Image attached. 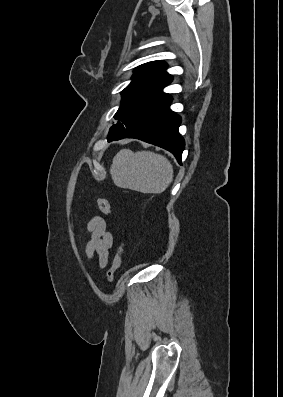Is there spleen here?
Instances as JSON below:
<instances>
[{
  "label": "spleen",
  "mask_w": 283,
  "mask_h": 397,
  "mask_svg": "<svg viewBox=\"0 0 283 397\" xmlns=\"http://www.w3.org/2000/svg\"><path fill=\"white\" fill-rule=\"evenodd\" d=\"M110 174L120 188L160 194L173 181V166L163 155L123 149L113 158Z\"/></svg>",
  "instance_id": "1"
}]
</instances>
